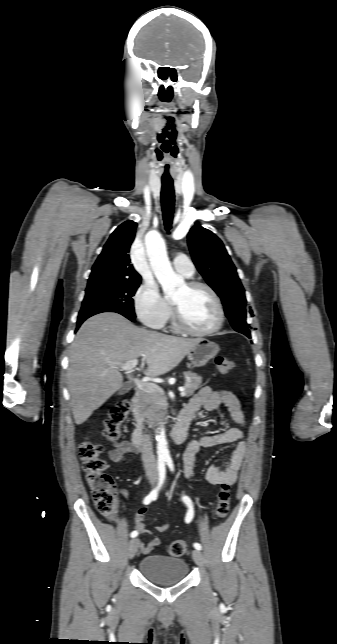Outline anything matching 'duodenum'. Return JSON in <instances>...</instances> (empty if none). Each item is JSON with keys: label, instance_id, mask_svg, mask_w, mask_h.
Masks as SVG:
<instances>
[{"label": "duodenum", "instance_id": "obj_1", "mask_svg": "<svg viewBox=\"0 0 337 644\" xmlns=\"http://www.w3.org/2000/svg\"><path fill=\"white\" fill-rule=\"evenodd\" d=\"M131 409L136 422V427L132 432L131 441L136 448L143 449L146 446L148 437L140 428V423L142 421V410L140 405V398L137 394H135L131 399ZM190 421L191 419L188 415L181 413L176 427L170 433V438L175 444H181L186 440L188 436Z\"/></svg>", "mask_w": 337, "mask_h": 644}]
</instances>
